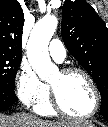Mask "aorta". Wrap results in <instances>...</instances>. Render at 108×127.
<instances>
[{
  "label": "aorta",
  "instance_id": "aorta-1",
  "mask_svg": "<svg viewBox=\"0 0 108 127\" xmlns=\"http://www.w3.org/2000/svg\"><path fill=\"white\" fill-rule=\"evenodd\" d=\"M57 24L56 16L43 17L33 27L27 43L28 61L43 81L49 80L56 70V66L52 64L49 57L48 44L57 28Z\"/></svg>",
  "mask_w": 108,
  "mask_h": 127
}]
</instances>
